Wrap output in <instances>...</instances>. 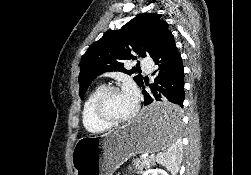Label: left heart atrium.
Masks as SVG:
<instances>
[{
    "mask_svg": "<svg viewBox=\"0 0 251 175\" xmlns=\"http://www.w3.org/2000/svg\"><path fill=\"white\" fill-rule=\"evenodd\" d=\"M122 93L125 96V98L128 100V102L135 107L137 102H138V91L135 87V85L131 82H127L123 89H122Z\"/></svg>",
    "mask_w": 251,
    "mask_h": 175,
    "instance_id": "left-heart-atrium-1",
    "label": "left heart atrium"
}]
</instances>
